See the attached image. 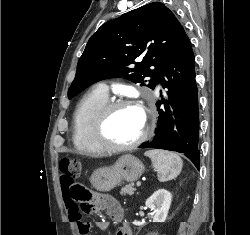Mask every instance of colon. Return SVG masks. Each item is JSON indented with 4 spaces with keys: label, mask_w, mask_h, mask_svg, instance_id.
I'll return each mask as SVG.
<instances>
[{
    "label": "colon",
    "mask_w": 250,
    "mask_h": 235,
    "mask_svg": "<svg viewBox=\"0 0 250 235\" xmlns=\"http://www.w3.org/2000/svg\"><path fill=\"white\" fill-rule=\"evenodd\" d=\"M61 181L70 188L72 198L79 203L78 209L91 210L87 190L75 181L81 176L82 164L78 159H62L60 161Z\"/></svg>",
    "instance_id": "obj_1"
}]
</instances>
